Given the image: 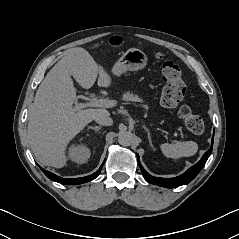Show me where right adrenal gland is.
<instances>
[{
    "instance_id": "2a0ac1e0",
    "label": "right adrenal gland",
    "mask_w": 239,
    "mask_h": 239,
    "mask_svg": "<svg viewBox=\"0 0 239 239\" xmlns=\"http://www.w3.org/2000/svg\"><path fill=\"white\" fill-rule=\"evenodd\" d=\"M101 128H102L101 126H89L88 130L92 129V130H95V132H98Z\"/></svg>"
}]
</instances>
